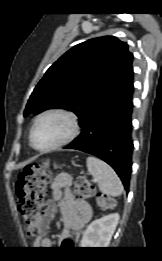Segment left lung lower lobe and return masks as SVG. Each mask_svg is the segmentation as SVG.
<instances>
[{
  "label": "left lung lower lobe",
  "mask_w": 162,
  "mask_h": 261,
  "mask_svg": "<svg viewBox=\"0 0 162 261\" xmlns=\"http://www.w3.org/2000/svg\"><path fill=\"white\" fill-rule=\"evenodd\" d=\"M133 77L98 106L81 126V134L65 148L92 154L107 162L128 190L132 169Z\"/></svg>",
  "instance_id": "1"
}]
</instances>
